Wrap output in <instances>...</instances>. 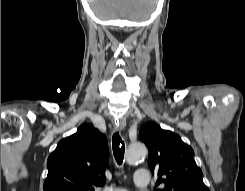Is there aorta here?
Masks as SVG:
<instances>
[{
	"mask_svg": "<svg viewBox=\"0 0 245 191\" xmlns=\"http://www.w3.org/2000/svg\"><path fill=\"white\" fill-rule=\"evenodd\" d=\"M147 155V148L144 144L138 142L133 143L128 147L126 153V162L133 165L141 160H143Z\"/></svg>",
	"mask_w": 245,
	"mask_h": 191,
	"instance_id": "aorta-1",
	"label": "aorta"
}]
</instances>
